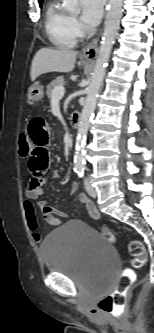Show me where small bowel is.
I'll return each instance as SVG.
<instances>
[{"label":"small bowel","mask_w":154,"mask_h":333,"mask_svg":"<svg viewBox=\"0 0 154 333\" xmlns=\"http://www.w3.org/2000/svg\"><path fill=\"white\" fill-rule=\"evenodd\" d=\"M27 135L32 144V151L28 158V167L31 179L26 189L27 200L24 203L26 220L32 233V238L36 243L42 242V236L38 231V222L32 201H37L43 219L50 225L59 226L62 218L67 216L65 211L51 207L46 201L40 200L43 194V186L46 183L47 172L50 167V128L49 125L40 117L32 118L28 124ZM60 171L52 173L53 178H59ZM77 184L73 183L71 190L75 191ZM80 202L86 207L88 214L93 219H99L100 213L95 204L84 194L79 196Z\"/></svg>","instance_id":"small-bowel-1"}]
</instances>
